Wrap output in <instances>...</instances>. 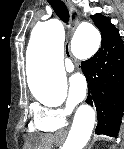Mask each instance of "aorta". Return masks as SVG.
I'll use <instances>...</instances> for the list:
<instances>
[{
  "instance_id": "aorta-1",
  "label": "aorta",
  "mask_w": 124,
  "mask_h": 149,
  "mask_svg": "<svg viewBox=\"0 0 124 149\" xmlns=\"http://www.w3.org/2000/svg\"><path fill=\"white\" fill-rule=\"evenodd\" d=\"M64 29L57 19L37 24L29 44V87L40 102L61 101L67 94V79L63 66ZM101 43L98 29L88 22L81 23L72 38V51L79 55L95 53ZM95 124V112L89 105L76 111L63 149H83Z\"/></svg>"
}]
</instances>
